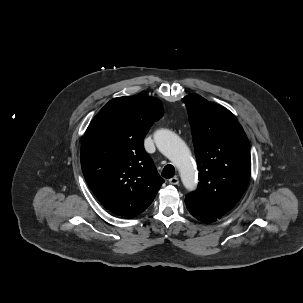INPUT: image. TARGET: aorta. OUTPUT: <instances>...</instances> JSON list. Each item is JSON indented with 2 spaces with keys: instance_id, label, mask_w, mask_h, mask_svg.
Segmentation results:
<instances>
[{
  "instance_id": "obj_1",
  "label": "aorta",
  "mask_w": 303,
  "mask_h": 303,
  "mask_svg": "<svg viewBox=\"0 0 303 303\" xmlns=\"http://www.w3.org/2000/svg\"><path fill=\"white\" fill-rule=\"evenodd\" d=\"M157 148L178 168L182 182L188 190L195 188L196 169L191 161L188 147L183 140L167 129H160L154 134Z\"/></svg>"
}]
</instances>
